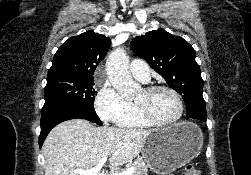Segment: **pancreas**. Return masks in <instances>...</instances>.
Listing matches in <instances>:
<instances>
[{"mask_svg":"<svg viewBox=\"0 0 251 175\" xmlns=\"http://www.w3.org/2000/svg\"><path fill=\"white\" fill-rule=\"evenodd\" d=\"M131 167H134L135 169L132 175H147V165H145V161L142 159V157H137V159H134L133 163H131Z\"/></svg>","mask_w":251,"mask_h":175,"instance_id":"pancreas-1","label":"pancreas"}]
</instances>
